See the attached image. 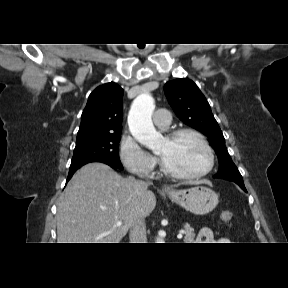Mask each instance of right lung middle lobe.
<instances>
[{"label": "right lung middle lobe", "mask_w": 288, "mask_h": 288, "mask_svg": "<svg viewBox=\"0 0 288 288\" xmlns=\"http://www.w3.org/2000/svg\"><path fill=\"white\" fill-rule=\"evenodd\" d=\"M120 136L121 133H113L78 140L71 165L89 160H103L119 169H123L118 154Z\"/></svg>", "instance_id": "dd1d6c3e"}]
</instances>
